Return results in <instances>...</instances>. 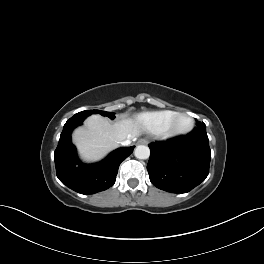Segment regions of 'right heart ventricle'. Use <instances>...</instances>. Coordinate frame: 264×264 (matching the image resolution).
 <instances>
[{"label":"right heart ventricle","mask_w":264,"mask_h":264,"mask_svg":"<svg viewBox=\"0 0 264 264\" xmlns=\"http://www.w3.org/2000/svg\"><path fill=\"white\" fill-rule=\"evenodd\" d=\"M176 113L172 110L147 112L139 115L138 120L148 132L158 134L163 132Z\"/></svg>","instance_id":"e07e8e85"}]
</instances>
